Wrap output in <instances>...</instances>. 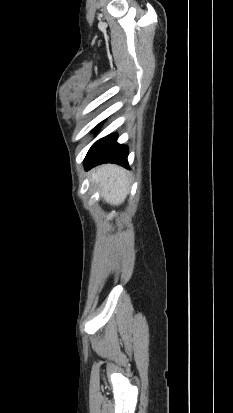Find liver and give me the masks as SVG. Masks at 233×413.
<instances>
[{
  "mask_svg": "<svg viewBox=\"0 0 233 413\" xmlns=\"http://www.w3.org/2000/svg\"><path fill=\"white\" fill-rule=\"evenodd\" d=\"M92 180L99 184L103 200L111 205H121L129 194L130 175L117 165L100 166Z\"/></svg>",
  "mask_w": 233,
  "mask_h": 413,
  "instance_id": "1",
  "label": "liver"
}]
</instances>
